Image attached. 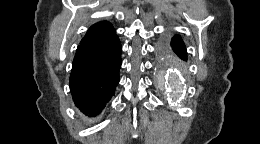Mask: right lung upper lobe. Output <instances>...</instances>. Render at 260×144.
Instances as JSON below:
<instances>
[{
    "instance_id": "obj_1",
    "label": "right lung upper lobe",
    "mask_w": 260,
    "mask_h": 144,
    "mask_svg": "<svg viewBox=\"0 0 260 144\" xmlns=\"http://www.w3.org/2000/svg\"><path fill=\"white\" fill-rule=\"evenodd\" d=\"M114 34H116V32L111 23L107 21L98 22L88 29L86 35L83 37L80 43L102 39Z\"/></svg>"
}]
</instances>
